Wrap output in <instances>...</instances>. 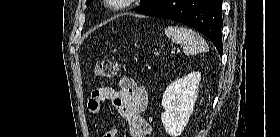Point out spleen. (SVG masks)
Wrapping results in <instances>:
<instances>
[{"label": "spleen", "instance_id": "1", "mask_svg": "<svg viewBox=\"0 0 280 137\" xmlns=\"http://www.w3.org/2000/svg\"><path fill=\"white\" fill-rule=\"evenodd\" d=\"M164 31L165 35L174 43L183 45V52L187 56L208 50V45L204 38L192 29L181 26H168Z\"/></svg>", "mask_w": 280, "mask_h": 137}]
</instances>
